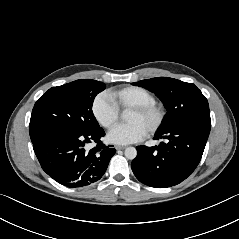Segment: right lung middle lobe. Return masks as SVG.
I'll return each mask as SVG.
<instances>
[{
  "label": "right lung middle lobe",
  "mask_w": 239,
  "mask_h": 239,
  "mask_svg": "<svg viewBox=\"0 0 239 239\" xmlns=\"http://www.w3.org/2000/svg\"><path fill=\"white\" fill-rule=\"evenodd\" d=\"M105 87L102 82L81 79L50 88L34 105L29 125L31 141L52 130L85 132L99 127L92 105Z\"/></svg>",
  "instance_id": "dd1d6c3e"
}]
</instances>
